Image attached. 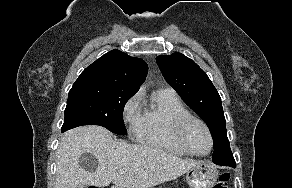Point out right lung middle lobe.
<instances>
[{"label": "right lung middle lobe", "instance_id": "1", "mask_svg": "<svg viewBox=\"0 0 292 188\" xmlns=\"http://www.w3.org/2000/svg\"><path fill=\"white\" fill-rule=\"evenodd\" d=\"M135 94L94 83H74L69 91L65 119L61 131L81 126L100 125L109 131L126 135L123 110Z\"/></svg>", "mask_w": 292, "mask_h": 188}]
</instances>
